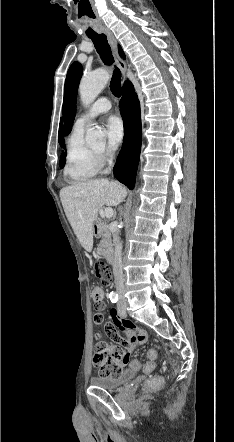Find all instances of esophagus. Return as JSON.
<instances>
[{"label":"esophagus","mask_w":234,"mask_h":442,"mask_svg":"<svg viewBox=\"0 0 234 442\" xmlns=\"http://www.w3.org/2000/svg\"><path fill=\"white\" fill-rule=\"evenodd\" d=\"M104 33L106 34V36L108 38V42L111 46L115 62L118 65V67L120 68V70L122 72V76L125 79V74L127 71V64L119 55L118 48H117V41H116L113 33L109 29H104Z\"/></svg>","instance_id":"34e87169"}]
</instances>
